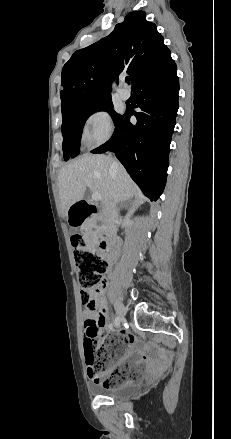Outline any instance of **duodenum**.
Segmentation results:
<instances>
[{"label":"duodenum","instance_id":"1","mask_svg":"<svg viewBox=\"0 0 231 439\" xmlns=\"http://www.w3.org/2000/svg\"><path fill=\"white\" fill-rule=\"evenodd\" d=\"M73 214H72V224L74 220H78L79 224L85 223L92 217L97 216L99 207L97 204L89 203L86 201H79L75 205L72 206ZM95 245L97 248L105 255L108 261L111 262V251L109 242L105 238V236L97 235Z\"/></svg>","mask_w":231,"mask_h":439}]
</instances>
